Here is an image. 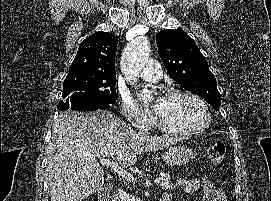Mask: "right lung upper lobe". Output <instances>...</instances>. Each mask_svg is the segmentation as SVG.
Instances as JSON below:
<instances>
[{"mask_svg":"<svg viewBox=\"0 0 271 201\" xmlns=\"http://www.w3.org/2000/svg\"><path fill=\"white\" fill-rule=\"evenodd\" d=\"M120 36L96 32L79 46L76 57L69 68L73 72L116 74L115 55Z\"/></svg>","mask_w":271,"mask_h":201,"instance_id":"cb5924a9","label":"right lung upper lobe"}]
</instances>
